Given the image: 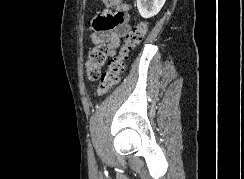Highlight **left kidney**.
Listing matches in <instances>:
<instances>
[{
    "label": "left kidney",
    "instance_id": "1",
    "mask_svg": "<svg viewBox=\"0 0 244 179\" xmlns=\"http://www.w3.org/2000/svg\"><path fill=\"white\" fill-rule=\"evenodd\" d=\"M166 0H137V8L142 18H152L160 12Z\"/></svg>",
    "mask_w": 244,
    "mask_h": 179
}]
</instances>
